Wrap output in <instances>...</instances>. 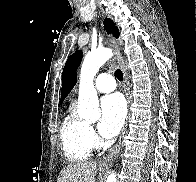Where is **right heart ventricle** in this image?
<instances>
[{"mask_svg":"<svg viewBox=\"0 0 196 182\" xmlns=\"http://www.w3.org/2000/svg\"><path fill=\"white\" fill-rule=\"evenodd\" d=\"M61 142L65 156L72 162L86 160L92 151L88 124L70 108L61 125Z\"/></svg>","mask_w":196,"mask_h":182,"instance_id":"1","label":"right heart ventricle"}]
</instances>
